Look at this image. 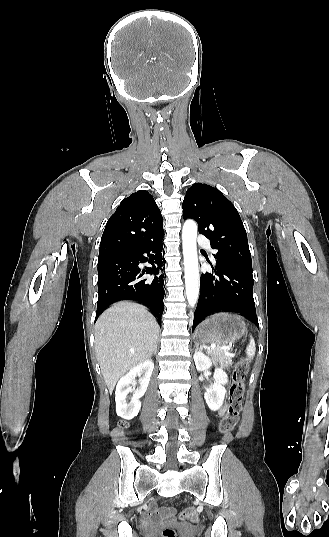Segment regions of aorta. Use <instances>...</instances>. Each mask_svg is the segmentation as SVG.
<instances>
[{"label": "aorta", "mask_w": 329, "mask_h": 537, "mask_svg": "<svg viewBox=\"0 0 329 537\" xmlns=\"http://www.w3.org/2000/svg\"><path fill=\"white\" fill-rule=\"evenodd\" d=\"M185 288L190 307L197 304L200 290V275L197 256V224L186 220L182 229Z\"/></svg>", "instance_id": "762f6f07"}]
</instances>
